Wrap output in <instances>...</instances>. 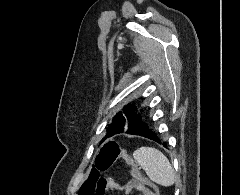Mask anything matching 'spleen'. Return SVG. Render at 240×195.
<instances>
[{
  "label": "spleen",
  "instance_id": "3e777b00",
  "mask_svg": "<svg viewBox=\"0 0 240 195\" xmlns=\"http://www.w3.org/2000/svg\"><path fill=\"white\" fill-rule=\"evenodd\" d=\"M135 161L146 171L148 177L159 185L175 183L174 169L166 155L155 147H138L133 153Z\"/></svg>",
  "mask_w": 240,
  "mask_h": 195
}]
</instances>
